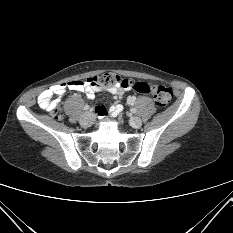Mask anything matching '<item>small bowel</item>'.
Instances as JSON below:
<instances>
[{"instance_id": "c3829d8e", "label": "small bowel", "mask_w": 233, "mask_h": 233, "mask_svg": "<svg viewBox=\"0 0 233 233\" xmlns=\"http://www.w3.org/2000/svg\"><path fill=\"white\" fill-rule=\"evenodd\" d=\"M66 90L78 91L85 93L86 97L90 100L94 99L95 94L104 90V88L98 87L97 83H94L92 79H87L85 81H70L66 83L57 84L53 87H50L44 91H42L38 96V105L47 111H52L58 107L59 101L56 99V96L61 95ZM106 90L114 96L116 102L112 104L110 107L106 108L105 106H98L96 108L95 116L97 115L100 119L104 118L107 114L112 117H117L123 111V106L120 103V100L123 98L126 90L120 86H113L106 88ZM136 100L135 96H129L127 102L129 105L134 104ZM97 125L96 123L94 124ZM100 131L99 129L97 130ZM102 134L101 132L99 133Z\"/></svg>"}]
</instances>
